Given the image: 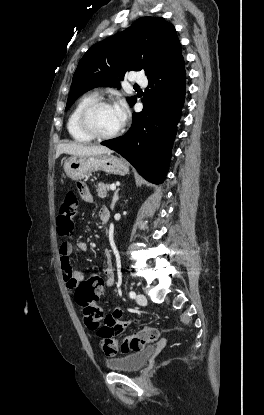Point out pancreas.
<instances>
[{"label":"pancreas","mask_w":264,"mask_h":415,"mask_svg":"<svg viewBox=\"0 0 264 415\" xmlns=\"http://www.w3.org/2000/svg\"><path fill=\"white\" fill-rule=\"evenodd\" d=\"M109 189H110V184H104L100 182V183H97L96 185L97 194H98V197L100 198H105L107 196Z\"/></svg>","instance_id":"pancreas-1"}]
</instances>
